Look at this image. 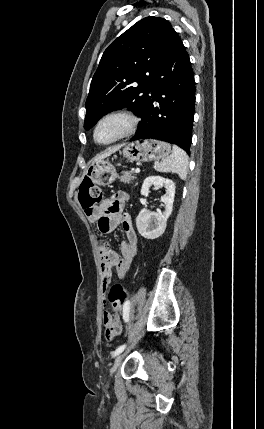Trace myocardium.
I'll use <instances>...</instances> for the list:
<instances>
[{"mask_svg":"<svg viewBox=\"0 0 264 429\" xmlns=\"http://www.w3.org/2000/svg\"><path fill=\"white\" fill-rule=\"evenodd\" d=\"M110 119H122L125 122V126H124L123 130L114 138H112L108 141H99L97 139V132H98L99 128L101 127V125ZM138 121L139 120L134 113H132L131 111L125 110V109H119V110H114V111L108 112L105 115H103L102 117H100L99 120L96 122L94 129H93V134H92L93 140L95 143H97L99 145H110V144H113L115 142H118L124 138L129 137L130 135H132L135 132V130L138 126Z\"/></svg>","mask_w":264,"mask_h":429,"instance_id":"f54148a6","label":"myocardium"}]
</instances>
